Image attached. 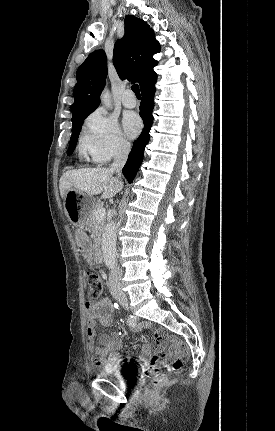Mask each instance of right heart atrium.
I'll use <instances>...</instances> for the list:
<instances>
[{
  "label": "right heart atrium",
  "mask_w": 275,
  "mask_h": 431,
  "mask_svg": "<svg viewBox=\"0 0 275 431\" xmlns=\"http://www.w3.org/2000/svg\"><path fill=\"white\" fill-rule=\"evenodd\" d=\"M79 147L91 161L99 164L121 157L130 150L118 121L103 109L95 110L85 120Z\"/></svg>",
  "instance_id": "d8ad5b80"
}]
</instances>
